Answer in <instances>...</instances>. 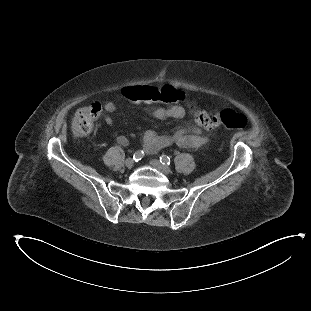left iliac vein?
I'll list each match as a JSON object with an SVG mask.
<instances>
[{"label":"left iliac vein","instance_id":"obj_1","mask_svg":"<svg viewBox=\"0 0 311 311\" xmlns=\"http://www.w3.org/2000/svg\"><path fill=\"white\" fill-rule=\"evenodd\" d=\"M150 164L157 168L158 170H160L162 173L164 174H170L172 171H171V168L165 164H162L159 160L157 159H152L150 160Z\"/></svg>","mask_w":311,"mask_h":311}]
</instances>
